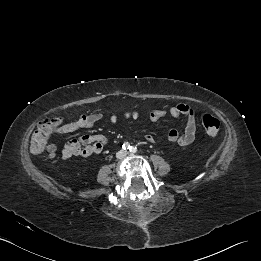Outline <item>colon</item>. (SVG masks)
<instances>
[{
	"label": "colon",
	"mask_w": 261,
	"mask_h": 261,
	"mask_svg": "<svg viewBox=\"0 0 261 261\" xmlns=\"http://www.w3.org/2000/svg\"><path fill=\"white\" fill-rule=\"evenodd\" d=\"M200 121L207 135H217L220 127L217 118L210 114H203L200 117ZM58 122L59 120L57 118L48 117L39 123L30 140V148L33 153L40 154L43 152L52 134V129Z\"/></svg>",
	"instance_id": "1"
}]
</instances>
